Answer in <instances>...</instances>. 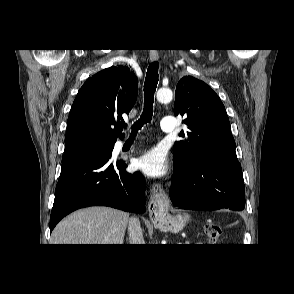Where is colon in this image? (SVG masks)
Segmentation results:
<instances>
[{
  "label": "colon",
  "instance_id": "colon-1",
  "mask_svg": "<svg viewBox=\"0 0 294 294\" xmlns=\"http://www.w3.org/2000/svg\"><path fill=\"white\" fill-rule=\"evenodd\" d=\"M205 234L208 242L215 245L221 235V226L216 223H208L205 226Z\"/></svg>",
  "mask_w": 294,
  "mask_h": 294
}]
</instances>
